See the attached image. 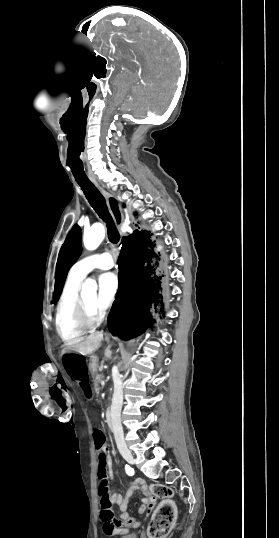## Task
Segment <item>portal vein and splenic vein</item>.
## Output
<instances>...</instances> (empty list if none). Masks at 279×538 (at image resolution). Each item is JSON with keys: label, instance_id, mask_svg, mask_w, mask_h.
Instances as JSON below:
<instances>
[{"label": "portal vein and splenic vein", "instance_id": "18ae733b", "mask_svg": "<svg viewBox=\"0 0 279 538\" xmlns=\"http://www.w3.org/2000/svg\"><path fill=\"white\" fill-rule=\"evenodd\" d=\"M102 385H106V380H102Z\"/></svg>", "mask_w": 279, "mask_h": 538}]
</instances>
